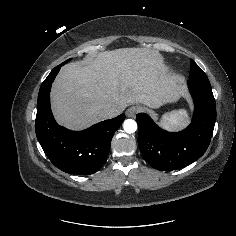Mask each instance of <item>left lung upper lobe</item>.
<instances>
[{
	"label": "left lung upper lobe",
	"mask_w": 236,
	"mask_h": 236,
	"mask_svg": "<svg viewBox=\"0 0 236 236\" xmlns=\"http://www.w3.org/2000/svg\"><path fill=\"white\" fill-rule=\"evenodd\" d=\"M189 78L190 79L207 78L206 74L193 60H191V72L189 74Z\"/></svg>",
	"instance_id": "1"
}]
</instances>
